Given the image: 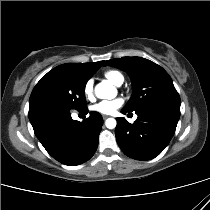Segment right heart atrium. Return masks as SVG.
Segmentation results:
<instances>
[{"label": "right heart atrium", "instance_id": "obj_1", "mask_svg": "<svg viewBox=\"0 0 210 210\" xmlns=\"http://www.w3.org/2000/svg\"><path fill=\"white\" fill-rule=\"evenodd\" d=\"M83 94L87 100L94 99V82L92 79L86 81L83 87Z\"/></svg>", "mask_w": 210, "mask_h": 210}]
</instances>
